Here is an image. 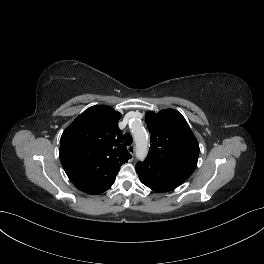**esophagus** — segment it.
<instances>
[{"instance_id":"1","label":"esophagus","mask_w":264,"mask_h":264,"mask_svg":"<svg viewBox=\"0 0 264 264\" xmlns=\"http://www.w3.org/2000/svg\"><path fill=\"white\" fill-rule=\"evenodd\" d=\"M127 150H128V152L131 155H134V153H135V146L134 145H130V146L127 147Z\"/></svg>"}]
</instances>
